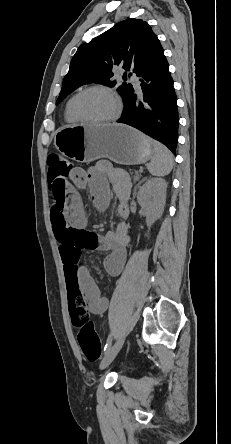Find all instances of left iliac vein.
<instances>
[{"mask_svg":"<svg viewBox=\"0 0 231 444\" xmlns=\"http://www.w3.org/2000/svg\"><path fill=\"white\" fill-rule=\"evenodd\" d=\"M125 341V334H122L117 340L116 342L113 344L112 347L109 348V350H107L103 356V359L100 363V368L103 369L105 367H107L112 361L113 359L116 357V355L118 354V352L120 351V349L122 348L123 344Z\"/></svg>","mask_w":231,"mask_h":444,"instance_id":"left-iliac-vein-1","label":"left iliac vein"}]
</instances>
